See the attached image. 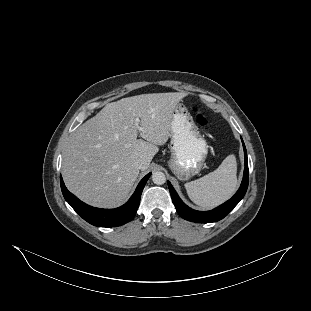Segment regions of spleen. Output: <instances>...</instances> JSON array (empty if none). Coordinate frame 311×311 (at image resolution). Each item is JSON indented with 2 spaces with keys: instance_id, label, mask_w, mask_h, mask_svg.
<instances>
[{
  "instance_id": "spleen-1",
  "label": "spleen",
  "mask_w": 311,
  "mask_h": 311,
  "mask_svg": "<svg viewBox=\"0 0 311 311\" xmlns=\"http://www.w3.org/2000/svg\"><path fill=\"white\" fill-rule=\"evenodd\" d=\"M236 186V161L233 155L226 156L216 170L184 184L190 199L204 208L213 207L229 198Z\"/></svg>"
}]
</instances>
